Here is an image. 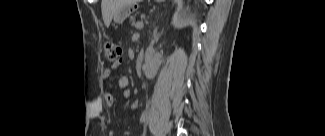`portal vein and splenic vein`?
Here are the masks:
<instances>
[{"instance_id": "1", "label": "portal vein and splenic vein", "mask_w": 325, "mask_h": 136, "mask_svg": "<svg viewBox=\"0 0 325 136\" xmlns=\"http://www.w3.org/2000/svg\"><path fill=\"white\" fill-rule=\"evenodd\" d=\"M136 25L140 27L142 25V23L141 22H137Z\"/></svg>"}]
</instances>
